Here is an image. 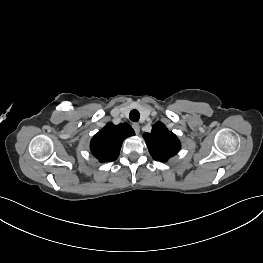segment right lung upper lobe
Returning a JSON list of instances; mask_svg holds the SVG:
<instances>
[{
  "label": "right lung upper lobe",
  "instance_id": "obj_1",
  "mask_svg": "<svg viewBox=\"0 0 263 263\" xmlns=\"http://www.w3.org/2000/svg\"><path fill=\"white\" fill-rule=\"evenodd\" d=\"M133 135L135 132L127 123H108L91 140V152L100 162L114 161L119 156L123 141Z\"/></svg>",
  "mask_w": 263,
  "mask_h": 263
}]
</instances>
